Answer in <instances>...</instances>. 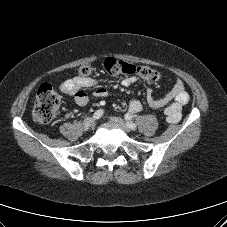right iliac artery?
Instances as JSON below:
<instances>
[{"instance_id":"obj_1","label":"right iliac artery","mask_w":227,"mask_h":227,"mask_svg":"<svg viewBox=\"0 0 227 227\" xmlns=\"http://www.w3.org/2000/svg\"><path fill=\"white\" fill-rule=\"evenodd\" d=\"M102 115H103V110H102V109H99V110H97V111L94 113L93 119H94V120H97V119L101 118Z\"/></svg>"}]
</instances>
